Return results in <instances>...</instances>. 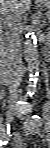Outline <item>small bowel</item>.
Wrapping results in <instances>:
<instances>
[{
    "label": "small bowel",
    "mask_w": 50,
    "mask_h": 148,
    "mask_svg": "<svg viewBox=\"0 0 50 148\" xmlns=\"http://www.w3.org/2000/svg\"><path fill=\"white\" fill-rule=\"evenodd\" d=\"M13 147L15 148H25L26 144L23 141V138L20 134H18L13 141Z\"/></svg>",
    "instance_id": "c3829d8e"
}]
</instances>
